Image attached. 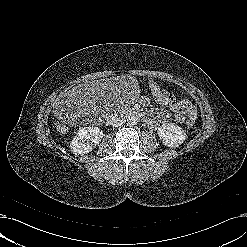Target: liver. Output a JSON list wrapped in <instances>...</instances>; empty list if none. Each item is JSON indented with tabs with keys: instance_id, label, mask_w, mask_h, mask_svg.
Wrapping results in <instances>:
<instances>
[{
	"instance_id": "obj_1",
	"label": "liver",
	"mask_w": 247,
	"mask_h": 247,
	"mask_svg": "<svg viewBox=\"0 0 247 247\" xmlns=\"http://www.w3.org/2000/svg\"><path fill=\"white\" fill-rule=\"evenodd\" d=\"M73 94H74V91L71 92L70 96L72 97Z\"/></svg>"
}]
</instances>
